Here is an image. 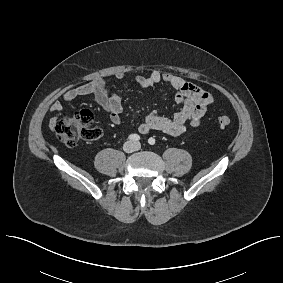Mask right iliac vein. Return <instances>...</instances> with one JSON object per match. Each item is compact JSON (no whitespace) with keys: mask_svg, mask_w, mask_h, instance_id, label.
Returning <instances> with one entry per match:
<instances>
[{"mask_svg":"<svg viewBox=\"0 0 283 283\" xmlns=\"http://www.w3.org/2000/svg\"><path fill=\"white\" fill-rule=\"evenodd\" d=\"M123 149L125 152L130 153L132 151H134L135 149V144L132 142H126L123 146Z\"/></svg>","mask_w":283,"mask_h":283,"instance_id":"63e3f726","label":"right iliac vein"}]
</instances>
